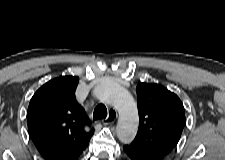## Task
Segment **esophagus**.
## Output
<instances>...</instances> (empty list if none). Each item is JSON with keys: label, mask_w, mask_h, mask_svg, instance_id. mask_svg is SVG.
Listing matches in <instances>:
<instances>
[{"label": "esophagus", "mask_w": 225, "mask_h": 160, "mask_svg": "<svg viewBox=\"0 0 225 160\" xmlns=\"http://www.w3.org/2000/svg\"><path fill=\"white\" fill-rule=\"evenodd\" d=\"M118 117V113L115 109H111L110 113L107 117V121L105 122L106 125H113L116 122V119Z\"/></svg>", "instance_id": "1"}]
</instances>
